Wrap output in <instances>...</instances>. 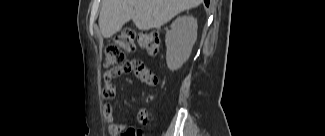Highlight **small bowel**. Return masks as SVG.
<instances>
[{
    "label": "small bowel",
    "mask_w": 325,
    "mask_h": 136,
    "mask_svg": "<svg viewBox=\"0 0 325 136\" xmlns=\"http://www.w3.org/2000/svg\"><path fill=\"white\" fill-rule=\"evenodd\" d=\"M134 73L143 83L154 86L158 83L157 76L151 72L144 65L143 57H135L134 59L125 61L121 66L111 69L104 73V85L103 95L106 98H112L114 96V86L111 83L113 78H116L125 73ZM113 109L110 106L105 107V117L108 120V132L112 136L123 135L127 130L132 127H128L125 124L113 121ZM138 119L142 123H146L148 120V111L145 108H141L138 111ZM134 129V128H133Z\"/></svg>",
    "instance_id": "obj_1"
}]
</instances>
